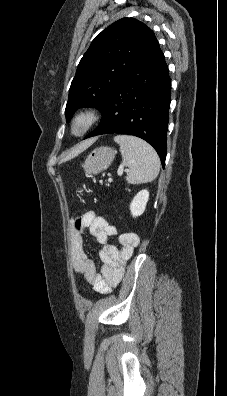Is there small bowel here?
<instances>
[{
    "label": "small bowel",
    "mask_w": 227,
    "mask_h": 396,
    "mask_svg": "<svg viewBox=\"0 0 227 396\" xmlns=\"http://www.w3.org/2000/svg\"><path fill=\"white\" fill-rule=\"evenodd\" d=\"M71 224L70 251L75 270L83 275L96 291L102 294L109 293L121 281L125 265L140 243L139 236L133 232L119 234L115 226L93 211L73 219ZM86 229L102 245L99 250L102 264L100 271L85 252L83 234ZM110 237H118L121 247L110 244Z\"/></svg>",
    "instance_id": "1"
}]
</instances>
